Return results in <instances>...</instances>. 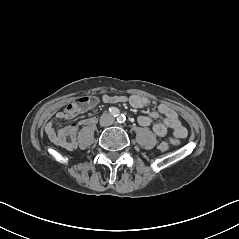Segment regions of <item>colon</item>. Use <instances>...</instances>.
<instances>
[{
    "mask_svg": "<svg viewBox=\"0 0 239 239\" xmlns=\"http://www.w3.org/2000/svg\"><path fill=\"white\" fill-rule=\"evenodd\" d=\"M88 103H90V99L88 97H83V98H80L76 104L78 107H84L86 106ZM159 149L162 151V152H166L169 150V144L167 142H162L160 143L159 145Z\"/></svg>",
    "mask_w": 239,
    "mask_h": 239,
    "instance_id": "5ec220e1",
    "label": "colon"
}]
</instances>
